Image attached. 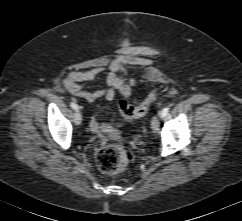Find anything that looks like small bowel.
<instances>
[{
	"label": "small bowel",
	"mask_w": 242,
	"mask_h": 221,
	"mask_svg": "<svg viewBox=\"0 0 242 221\" xmlns=\"http://www.w3.org/2000/svg\"><path fill=\"white\" fill-rule=\"evenodd\" d=\"M138 58L131 53H123L115 58L109 65V73L106 78L107 86L94 91H87L83 87V83L95 80L104 71V68L97 67L87 71H68L63 80V85L66 90L73 96L94 102L100 98H105L112 101L117 92L124 97H128L132 87L135 85V80L125 79V70L127 65L136 64ZM89 129L95 134L108 132L110 125L102 123L97 116H93L89 122Z\"/></svg>",
	"instance_id": "1"
}]
</instances>
